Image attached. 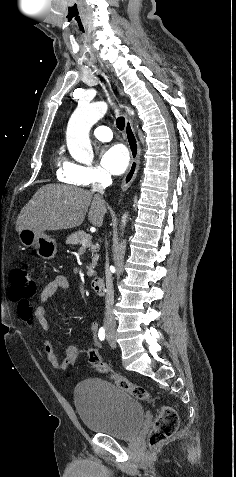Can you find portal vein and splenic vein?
Returning <instances> with one entry per match:
<instances>
[{
	"label": "portal vein and splenic vein",
	"instance_id": "18ae733b",
	"mask_svg": "<svg viewBox=\"0 0 236 477\" xmlns=\"http://www.w3.org/2000/svg\"><path fill=\"white\" fill-rule=\"evenodd\" d=\"M89 243H90V242H89L88 239H83L82 242H81V244H82L83 247H86Z\"/></svg>",
	"mask_w": 236,
	"mask_h": 477
}]
</instances>
